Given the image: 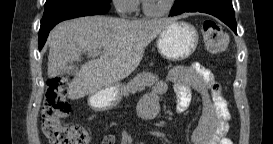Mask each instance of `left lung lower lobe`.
<instances>
[{
  "label": "left lung lower lobe",
  "instance_id": "obj_1",
  "mask_svg": "<svg viewBox=\"0 0 273 144\" xmlns=\"http://www.w3.org/2000/svg\"><path fill=\"white\" fill-rule=\"evenodd\" d=\"M184 12H204L211 14L223 21L237 34L231 0H183L179 4H174L170 15L176 16Z\"/></svg>",
  "mask_w": 273,
  "mask_h": 144
}]
</instances>
